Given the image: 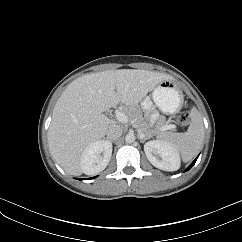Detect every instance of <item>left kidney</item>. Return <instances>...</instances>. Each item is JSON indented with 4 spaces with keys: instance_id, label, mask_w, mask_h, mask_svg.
Here are the masks:
<instances>
[{
    "instance_id": "1",
    "label": "left kidney",
    "mask_w": 242,
    "mask_h": 242,
    "mask_svg": "<svg viewBox=\"0 0 242 242\" xmlns=\"http://www.w3.org/2000/svg\"><path fill=\"white\" fill-rule=\"evenodd\" d=\"M145 154L150 163L164 171H176L180 168L178 150L170 143L151 140L144 145Z\"/></svg>"
}]
</instances>
